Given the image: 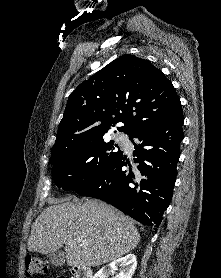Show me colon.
<instances>
[{"label": "colon", "mask_w": 221, "mask_h": 278, "mask_svg": "<svg viewBox=\"0 0 221 278\" xmlns=\"http://www.w3.org/2000/svg\"><path fill=\"white\" fill-rule=\"evenodd\" d=\"M48 272L47 264L34 257H26L25 259V274L28 278H38L41 275H45ZM56 278H66L65 276H57Z\"/></svg>", "instance_id": "1"}]
</instances>
